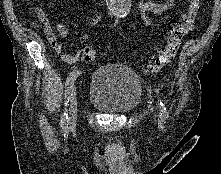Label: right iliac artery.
Returning a JSON list of instances; mask_svg holds the SVG:
<instances>
[{"mask_svg": "<svg viewBox=\"0 0 221 174\" xmlns=\"http://www.w3.org/2000/svg\"><path fill=\"white\" fill-rule=\"evenodd\" d=\"M80 71L79 70H73L69 76L67 77L66 83H65V113L61 117V126L63 128H66L68 126V114H67V107L69 105L70 98L72 96L74 82L79 76Z\"/></svg>", "mask_w": 221, "mask_h": 174, "instance_id": "right-iliac-artery-1", "label": "right iliac artery"}]
</instances>
